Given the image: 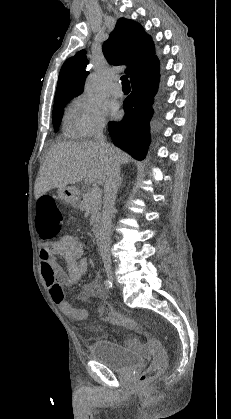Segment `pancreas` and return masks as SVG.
Wrapping results in <instances>:
<instances>
[{
  "mask_svg": "<svg viewBox=\"0 0 231 419\" xmlns=\"http://www.w3.org/2000/svg\"><path fill=\"white\" fill-rule=\"evenodd\" d=\"M101 198L93 199L90 197V192L83 195L82 200L79 201L78 207L81 210H86L90 213V224L93 225L98 222L101 216Z\"/></svg>",
  "mask_w": 231,
  "mask_h": 419,
  "instance_id": "cf45deb5",
  "label": "pancreas"
}]
</instances>
